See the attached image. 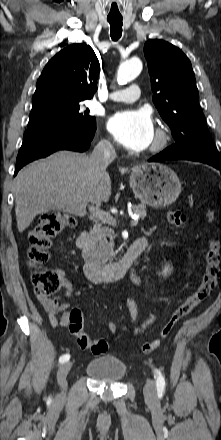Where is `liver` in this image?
I'll list each match as a JSON object with an SVG mask.
<instances>
[{
	"label": "liver",
	"mask_w": 221,
	"mask_h": 440,
	"mask_svg": "<svg viewBox=\"0 0 221 440\" xmlns=\"http://www.w3.org/2000/svg\"><path fill=\"white\" fill-rule=\"evenodd\" d=\"M15 213L22 233L33 219L49 211L86 215L88 203L100 206L111 195V179L98 175L90 157L58 151L19 171L14 180Z\"/></svg>",
	"instance_id": "1"
}]
</instances>
